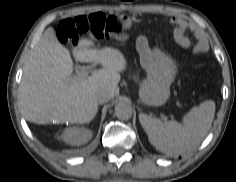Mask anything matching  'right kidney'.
<instances>
[{"instance_id": "right-kidney-1", "label": "right kidney", "mask_w": 236, "mask_h": 182, "mask_svg": "<svg viewBox=\"0 0 236 182\" xmlns=\"http://www.w3.org/2000/svg\"><path fill=\"white\" fill-rule=\"evenodd\" d=\"M92 138V132L85 128L71 127L64 131L62 139L70 145H82Z\"/></svg>"}]
</instances>
